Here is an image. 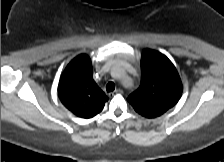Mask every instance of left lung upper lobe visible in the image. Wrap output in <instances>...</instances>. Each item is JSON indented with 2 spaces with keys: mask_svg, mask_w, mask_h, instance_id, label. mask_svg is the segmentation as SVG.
I'll return each instance as SVG.
<instances>
[{
  "mask_svg": "<svg viewBox=\"0 0 224 162\" xmlns=\"http://www.w3.org/2000/svg\"><path fill=\"white\" fill-rule=\"evenodd\" d=\"M141 71L140 87L127 100L142 116L155 118L178 102L183 90L181 79L172 62L151 49L143 51Z\"/></svg>",
  "mask_w": 224,
  "mask_h": 162,
  "instance_id": "5c2ea615",
  "label": "left lung upper lobe"
}]
</instances>
